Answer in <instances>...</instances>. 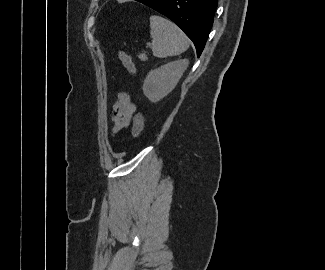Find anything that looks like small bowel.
Masks as SVG:
<instances>
[{"instance_id": "1", "label": "small bowel", "mask_w": 325, "mask_h": 270, "mask_svg": "<svg viewBox=\"0 0 325 270\" xmlns=\"http://www.w3.org/2000/svg\"><path fill=\"white\" fill-rule=\"evenodd\" d=\"M135 112L136 106L131 102L129 95L120 93L118 101L113 106L114 131L117 132L127 126Z\"/></svg>"}]
</instances>
